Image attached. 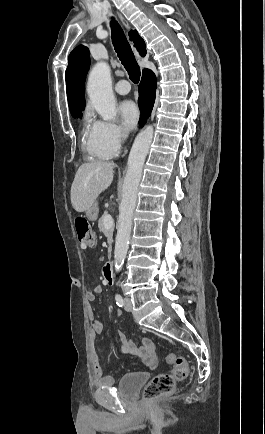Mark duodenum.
<instances>
[{
    "label": "duodenum",
    "instance_id": "1",
    "mask_svg": "<svg viewBox=\"0 0 265 434\" xmlns=\"http://www.w3.org/2000/svg\"><path fill=\"white\" fill-rule=\"evenodd\" d=\"M103 278L107 284H112L114 282L113 278V264L107 263L103 269Z\"/></svg>",
    "mask_w": 265,
    "mask_h": 434
}]
</instances>
